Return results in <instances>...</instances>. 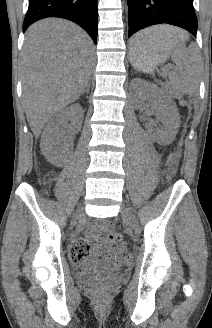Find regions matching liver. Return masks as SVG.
Returning a JSON list of instances; mask_svg holds the SVG:
<instances>
[{"label":"liver","mask_w":212,"mask_h":328,"mask_svg":"<svg viewBox=\"0 0 212 328\" xmlns=\"http://www.w3.org/2000/svg\"><path fill=\"white\" fill-rule=\"evenodd\" d=\"M174 29L186 37L182 30ZM93 55L89 35L70 21L48 18L29 27L21 56V77L26 118L35 137L52 115L84 92Z\"/></svg>","instance_id":"6515ba94"}]
</instances>
